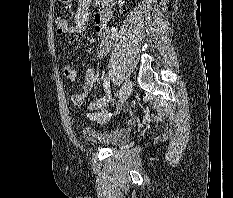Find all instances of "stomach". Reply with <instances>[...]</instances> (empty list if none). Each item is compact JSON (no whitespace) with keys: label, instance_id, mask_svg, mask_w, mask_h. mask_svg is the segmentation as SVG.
Segmentation results:
<instances>
[{"label":"stomach","instance_id":"stomach-1","mask_svg":"<svg viewBox=\"0 0 233 198\" xmlns=\"http://www.w3.org/2000/svg\"><path fill=\"white\" fill-rule=\"evenodd\" d=\"M60 2H63V3H69L71 2L72 0H59Z\"/></svg>","mask_w":233,"mask_h":198}]
</instances>
